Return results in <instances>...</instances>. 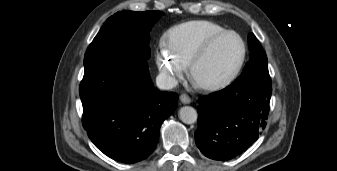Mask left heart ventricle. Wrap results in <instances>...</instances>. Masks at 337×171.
Instances as JSON below:
<instances>
[{
	"mask_svg": "<svg viewBox=\"0 0 337 171\" xmlns=\"http://www.w3.org/2000/svg\"><path fill=\"white\" fill-rule=\"evenodd\" d=\"M241 52V43L236 36L219 40L198 64L197 81L212 83L224 79L239 61Z\"/></svg>",
	"mask_w": 337,
	"mask_h": 171,
	"instance_id": "1",
	"label": "left heart ventricle"
}]
</instances>
